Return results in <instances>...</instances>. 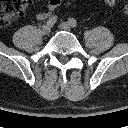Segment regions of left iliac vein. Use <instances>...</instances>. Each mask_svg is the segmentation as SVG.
I'll list each match as a JSON object with an SVG mask.
<instances>
[{
	"label": "left iliac vein",
	"instance_id": "4c4485c4",
	"mask_svg": "<svg viewBox=\"0 0 128 128\" xmlns=\"http://www.w3.org/2000/svg\"><path fill=\"white\" fill-rule=\"evenodd\" d=\"M60 29L65 30V31H71V26L67 22H62L59 25Z\"/></svg>",
	"mask_w": 128,
	"mask_h": 128
}]
</instances>
